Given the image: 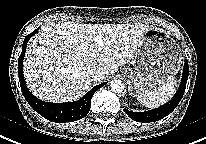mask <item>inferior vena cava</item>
<instances>
[{
  "label": "inferior vena cava",
  "instance_id": "inferior-vena-cava-1",
  "mask_svg": "<svg viewBox=\"0 0 206 144\" xmlns=\"http://www.w3.org/2000/svg\"><path fill=\"white\" fill-rule=\"evenodd\" d=\"M88 76L91 78L92 81L97 82L100 81L102 78L101 71L97 68H89L87 70Z\"/></svg>",
  "mask_w": 206,
  "mask_h": 144
}]
</instances>
